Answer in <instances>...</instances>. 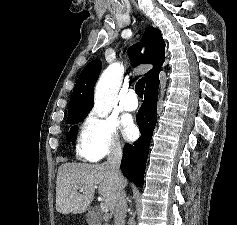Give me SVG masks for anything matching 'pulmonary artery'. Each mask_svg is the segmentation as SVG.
Masks as SVG:
<instances>
[{
    "mask_svg": "<svg viewBox=\"0 0 237 225\" xmlns=\"http://www.w3.org/2000/svg\"><path fill=\"white\" fill-rule=\"evenodd\" d=\"M123 108L126 111H135L138 108V100L134 90H129L123 100Z\"/></svg>",
    "mask_w": 237,
    "mask_h": 225,
    "instance_id": "e3ab8cb5",
    "label": "pulmonary artery"
}]
</instances>
